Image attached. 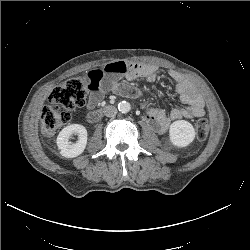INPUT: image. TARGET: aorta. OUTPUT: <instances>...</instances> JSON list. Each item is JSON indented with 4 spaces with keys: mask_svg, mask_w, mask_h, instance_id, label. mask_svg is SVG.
Returning a JSON list of instances; mask_svg holds the SVG:
<instances>
[{
    "mask_svg": "<svg viewBox=\"0 0 250 250\" xmlns=\"http://www.w3.org/2000/svg\"><path fill=\"white\" fill-rule=\"evenodd\" d=\"M118 110L121 113H128L131 110V105L127 101H122L118 104Z\"/></svg>",
    "mask_w": 250,
    "mask_h": 250,
    "instance_id": "762f6f07",
    "label": "aorta"
}]
</instances>
